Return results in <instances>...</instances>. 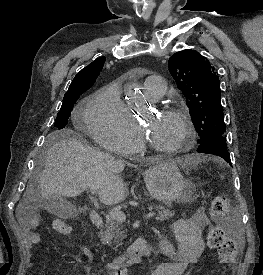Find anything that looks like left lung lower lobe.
<instances>
[{"label": "left lung lower lobe", "mask_w": 263, "mask_h": 275, "mask_svg": "<svg viewBox=\"0 0 263 275\" xmlns=\"http://www.w3.org/2000/svg\"><path fill=\"white\" fill-rule=\"evenodd\" d=\"M197 152L217 155L231 165L230 153L228 152L226 140L223 135H217L201 142Z\"/></svg>", "instance_id": "obj_1"}]
</instances>
